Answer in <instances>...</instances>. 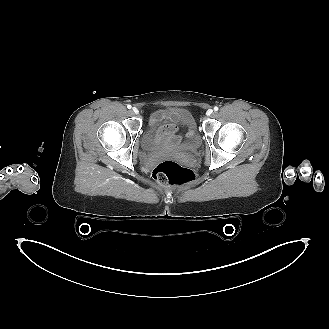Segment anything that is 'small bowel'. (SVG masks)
<instances>
[{
	"label": "small bowel",
	"mask_w": 329,
	"mask_h": 329,
	"mask_svg": "<svg viewBox=\"0 0 329 329\" xmlns=\"http://www.w3.org/2000/svg\"><path fill=\"white\" fill-rule=\"evenodd\" d=\"M171 142H176V136H173V137L171 138Z\"/></svg>",
	"instance_id": "obj_1"
}]
</instances>
